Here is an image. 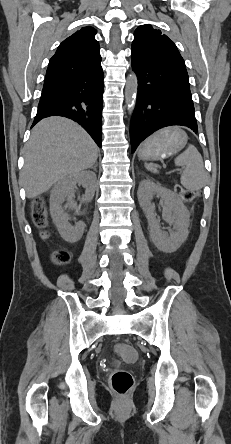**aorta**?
Wrapping results in <instances>:
<instances>
[{"label": "aorta", "mask_w": 231, "mask_h": 444, "mask_svg": "<svg viewBox=\"0 0 231 444\" xmlns=\"http://www.w3.org/2000/svg\"><path fill=\"white\" fill-rule=\"evenodd\" d=\"M137 93H138V79L137 76L134 73H132L127 78V83L125 87V100L130 115L134 111V104L136 101Z\"/></svg>", "instance_id": "obj_1"}]
</instances>
